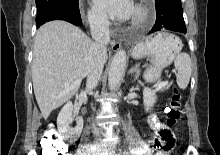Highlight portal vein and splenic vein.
Listing matches in <instances>:
<instances>
[{
    "instance_id": "portal-vein-and-splenic-vein-1",
    "label": "portal vein and splenic vein",
    "mask_w": 220,
    "mask_h": 155,
    "mask_svg": "<svg viewBox=\"0 0 220 155\" xmlns=\"http://www.w3.org/2000/svg\"><path fill=\"white\" fill-rule=\"evenodd\" d=\"M165 85H166V82L161 81V82L158 84V86H157V90L163 88Z\"/></svg>"
}]
</instances>
